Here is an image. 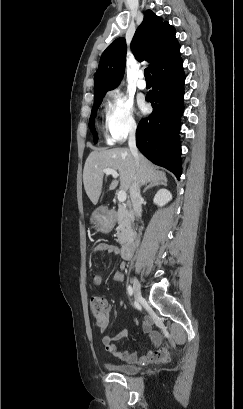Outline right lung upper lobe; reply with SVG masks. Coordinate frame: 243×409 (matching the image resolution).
Returning <instances> with one entry per match:
<instances>
[{
  "mask_svg": "<svg viewBox=\"0 0 243 409\" xmlns=\"http://www.w3.org/2000/svg\"><path fill=\"white\" fill-rule=\"evenodd\" d=\"M175 29L168 22L147 10L144 20L137 28L131 41V50L138 61L150 62L151 72L176 48ZM126 41L118 38L102 53L95 74V99H103L108 90L116 88L124 75L126 64Z\"/></svg>",
  "mask_w": 243,
  "mask_h": 409,
  "instance_id": "cb5924a9",
  "label": "right lung upper lobe"
}]
</instances>
